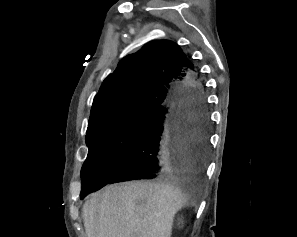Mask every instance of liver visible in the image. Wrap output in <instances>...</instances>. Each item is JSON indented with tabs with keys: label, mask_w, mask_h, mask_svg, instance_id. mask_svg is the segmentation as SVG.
<instances>
[{
	"label": "liver",
	"mask_w": 297,
	"mask_h": 237,
	"mask_svg": "<svg viewBox=\"0 0 297 237\" xmlns=\"http://www.w3.org/2000/svg\"><path fill=\"white\" fill-rule=\"evenodd\" d=\"M171 179L114 184L93 194L82 210L87 237H171L175 214L192 200Z\"/></svg>",
	"instance_id": "obj_1"
}]
</instances>
